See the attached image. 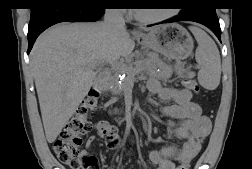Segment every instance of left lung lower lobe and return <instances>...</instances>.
<instances>
[{
	"label": "left lung lower lobe",
	"instance_id": "0a47b994",
	"mask_svg": "<svg viewBox=\"0 0 252 169\" xmlns=\"http://www.w3.org/2000/svg\"><path fill=\"white\" fill-rule=\"evenodd\" d=\"M179 21H194V22L200 23L208 27L221 41V29H220L219 20L216 15V12L213 10L201 11V12H196V13L188 14V15L179 14V16H176L162 23H171V22H179Z\"/></svg>",
	"mask_w": 252,
	"mask_h": 169
}]
</instances>
